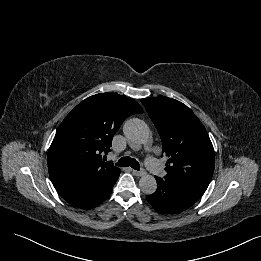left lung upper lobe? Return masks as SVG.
Segmentation results:
<instances>
[{
	"label": "left lung upper lobe",
	"mask_w": 261,
	"mask_h": 261,
	"mask_svg": "<svg viewBox=\"0 0 261 261\" xmlns=\"http://www.w3.org/2000/svg\"><path fill=\"white\" fill-rule=\"evenodd\" d=\"M169 157L165 180L206 190L214 171L215 155L205 127L185 104L168 97L141 100Z\"/></svg>",
	"instance_id": "left-lung-upper-lobe-1"
}]
</instances>
